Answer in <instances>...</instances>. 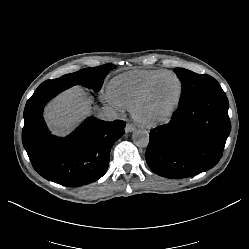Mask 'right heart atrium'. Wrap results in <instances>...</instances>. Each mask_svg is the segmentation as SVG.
I'll use <instances>...</instances> for the list:
<instances>
[{"instance_id": "right-heart-atrium-1", "label": "right heart atrium", "mask_w": 249, "mask_h": 249, "mask_svg": "<svg viewBox=\"0 0 249 249\" xmlns=\"http://www.w3.org/2000/svg\"><path fill=\"white\" fill-rule=\"evenodd\" d=\"M105 102L107 106L116 113H121L125 110V106L121 102L109 95L105 97Z\"/></svg>"}]
</instances>
